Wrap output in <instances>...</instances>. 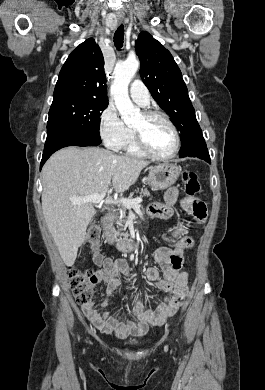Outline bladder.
Returning a JSON list of instances; mask_svg holds the SVG:
<instances>
[{
	"instance_id": "obj_1",
	"label": "bladder",
	"mask_w": 265,
	"mask_h": 390,
	"mask_svg": "<svg viewBox=\"0 0 265 390\" xmlns=\"http://www.w3.org/2000/svg\"><path fill=\"white\" fill-rule=\"evenodd\" d=\"M129 343L131 345H138V344H140V341L139 340H131V341H129Z\"/></svg>"
}]
</instances>
